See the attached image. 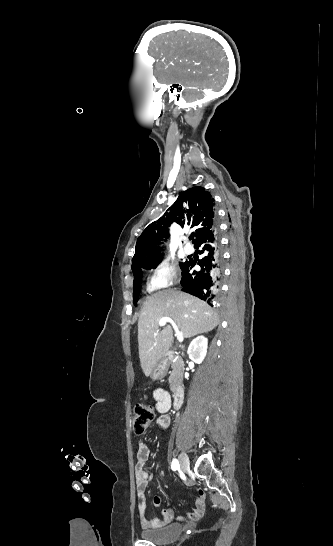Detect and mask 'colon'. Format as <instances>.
Wrapping results in <instances>:
<instances>
[{
    "instance_id": "obj_1",
    "label": "colon",
    "mask_w": 333,
    "mask_h": 546,
    "mask_svg": "<svg viewBox=\"0 0 333 546\" xmlns=\"http://www.w3.org/2000/svg\"><path fill=\"white\" fill-rule=\"evenodd\" d=\"M154 409L147 404H137L133 411V430L136 434H143L154 419Z\"/></svg>"
}]
</instances>
